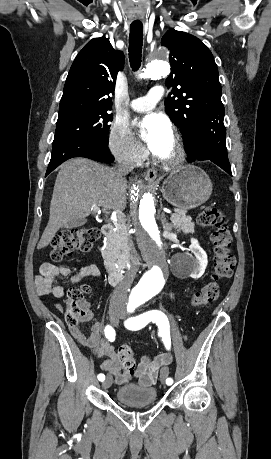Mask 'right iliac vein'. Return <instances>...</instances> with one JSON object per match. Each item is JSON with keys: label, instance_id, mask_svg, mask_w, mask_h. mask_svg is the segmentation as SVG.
Listing matches in <instances>:
<instances>
[{"label": "right iliac vein", "instance_id": "right-iliac-vein-1", "mask_svg": "<svg viewBox=\"0 0 271 459\" xmlns=\"http://www.w3.org/2000/svg\"><path fill=\"white\" fill-rule=\"evenodd\" d=\"M123 313H124V310L121 308L110 310V317H111L112 322L114 324H118ZM111 384H112V377L110 374H107V378L103 381L101 386L103 389H107L110 387Z\"/></svg>", "mask_w": 271, "mask_h": 459}]
</instances>
